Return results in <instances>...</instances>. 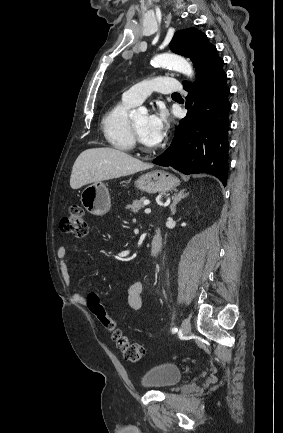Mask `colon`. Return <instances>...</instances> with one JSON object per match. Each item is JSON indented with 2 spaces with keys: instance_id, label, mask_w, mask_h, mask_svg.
I'll return each mask as SVG.
<instances>
[{
  "instance_id": "1",
  "label": "colon",
  "mask_w": 283,
  "mask_h": 433,
  "mask_svg": "<svg viewBox=\"0 0 283 433\" xmlns=\"http://www.w3.org/2000/svg\"><path fill=\"white\" fill-rule=\"evenodd\" d=\"M61 230L72 234L76 238H84L88 227L85 211L80 205H72L68 214L61 219ZM86 304L90 312L97 318L100 324L111 333L113 341L120 349L125 360L130 362L139 361L145 354L143 344L130 341L125 333L117 326L116 322L110 317L99 297L90 294L86 299Z\"/></svg>"
}]
</instances>
